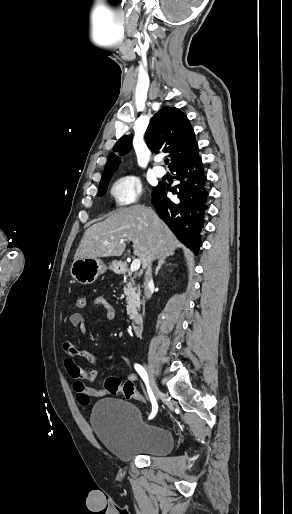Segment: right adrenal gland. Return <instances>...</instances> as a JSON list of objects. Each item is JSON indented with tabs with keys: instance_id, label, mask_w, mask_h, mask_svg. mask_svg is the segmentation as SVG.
<instances>
[{
	"instance_id": "right-adrenal-gland-1",
	"label": "right adrenal gland",
	"mask_w": 292,
	"mask_h": 514,
	"mask_svg": "<svg viewBox=\"0 0 292 514\" xmlns=\"http://www.w3.org/2000/svg\"><path fill=\"white\" fill-rule=\"evenodd\" d=\"M166 258H168V256H165V258H160L159 262H158V266L155 270V276H157L161 266H163V264H165V260ZM166 266H171V264H166ZM174 266H176V264H174Z\"/></svg>"
}]
</instances>
